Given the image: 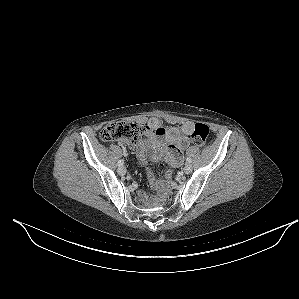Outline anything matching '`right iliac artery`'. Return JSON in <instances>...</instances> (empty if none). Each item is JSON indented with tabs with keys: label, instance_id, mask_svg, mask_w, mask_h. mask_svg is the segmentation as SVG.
Returning a JSON list of instances; mask_svg holds the SVG:
<instances>
[{
	"label": "right iliac artery",
	"instance_id": "1",
	"mask_svg": "<svg viewBox=\"0 0 299 299\" xmlns=\"http://www.w3.org/2000/svg\"><path fill=\"white\" fill-rule=\"evenodd\" d=\"M124 164V160H119L118 161V166H122Z\"/></svg>",
	"mask_w": 299,
	"mask_h": 299
}]
</instances>
